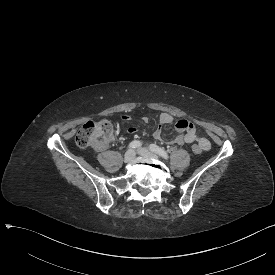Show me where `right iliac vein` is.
Wrapping results in <instances>:
<instances>
[{
    "instance_id": "63e3f726",
    "label": "right iliac vein",
    "mask_w": 275,
    "mask_h": 275,
    "mask_svg": "<svg viewBox=\"0 0 275 275\" xmlns=\"http://www.w3.org/2000/svg\"><path fill=\"white\" fill-rule=\"evenodd\" d=\"M135 155V151L130 149L125 153L124 159L126 162H131L132 160H134Z\"/></svg>"
}]
</instances>
